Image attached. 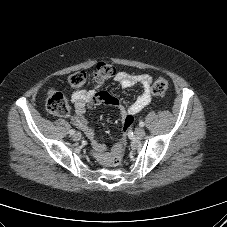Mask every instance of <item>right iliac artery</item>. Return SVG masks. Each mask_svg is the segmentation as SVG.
I'll return each mask as SVG.
<instances>
[{
  "label": "right iliac artery",
  "mask_w": 227,
  "mask_h": 227,
  "mask_svg": "<svg viewBox=\"0 0 227 227\" xmlns=\"http://www.w3.org/2000/svg\"><path fill=\"white\" fill-rule=\"evenodd\" d=\"M75 133V130L74 129H71L70 131H69V134L70 135H73Z\"/></svg>",
  "instance_id": "82829eb1"
}]
</instances>
